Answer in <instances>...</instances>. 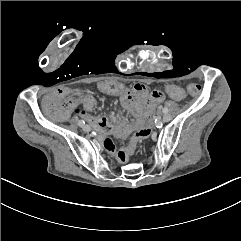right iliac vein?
Masks as SVG:
<instances>
[{"label":"right iliac vein","instance_id":"1","mask_svg":"<svg viewBox=\"0 0 241 241\" xmlns=\"http://www.w3.org/2000/svg\"><path fill=\"white\" fill-rule=\"evenodd\" d=\"M82 129H83L84 132H87V133L91 130V128H90L89 125H84V126L82 127Z\"/></svg>","mask_w":241,"mask_h":241}]
</instances>
